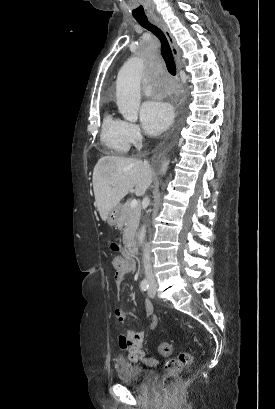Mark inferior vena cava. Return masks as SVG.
<instances>
[{"mask_svg":"<svg viewBox=\"0 0 275 409\" xmlns=\"http://www.w3.org/2000/svg\"><path fill=\"white\" fill-rule=\"evenodd\" d=\"M144 200H149L148 196H146ZM143 263L145 269V277L147 281H155L154 273L152 271L151 257L148 245H145L143 249Z\"/></svg>","mask_w":275,"mask_h":409,"instance_id":"obj_1","label":"inferior vena cava"}]
</instances>
